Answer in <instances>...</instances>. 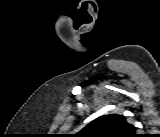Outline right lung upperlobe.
I'll list each match as a JSON object with an SVG mask.
<instances>
[{"label": "right lung upper lobe", "mask_w": 160, "mask_h": 137, "mask_svg": "<svg viewBox=\"0 0 160 137\" xmlns=\"http://www.w3.org/2000/svg\"><path fill=\"white\" fill-rule=\"evenodd\" d=\"M78 135L81 137H133L135 127L129 124L124 116L111 114L93 120Z\"/></svg>", "instance_id": "cb5924a9"}]
</instances>
